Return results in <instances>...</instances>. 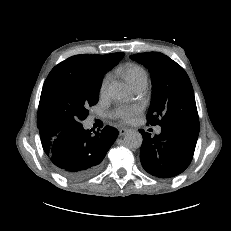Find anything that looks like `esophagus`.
<instances>
[{"label":"esophagus","instance_id":"esophagus-1","mask_svg":"<svg viewBox=\"0 0 231 231\" xmlns=\"http://www.w3.org/2000/svg\"><path fill=\"white\" fill-rule=\"evenodd\" d=\"M128 132V128H120L119 129V134L121 136L125 135Z\"/></svg>","mask_w":231,"mask_h":231}]
</instances>
